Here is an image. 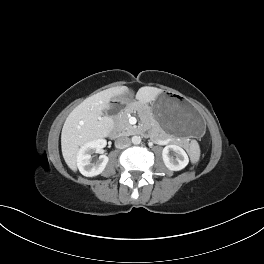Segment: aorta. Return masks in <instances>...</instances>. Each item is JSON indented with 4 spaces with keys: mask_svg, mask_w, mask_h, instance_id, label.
<instances>
[{
    "mask_svg": "<svg viewBox=\"0 0 264 264\" xmlns=\"http://www.w3.org/2000/svg\"><path fill=\"white\" fill-rule=\"evenodd\" d=\"M131 141H132V143H133L134 145H138V144L141 143V137L135 135V136H133V137L131 138Z\"/></svg>",
    "mask_w": 264,
    "mask_h": 264,
    "instance_id": "aorta-1",
    "label": "aorta"
}]
</instances>
